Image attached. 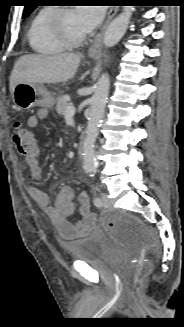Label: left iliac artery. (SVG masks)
Wrapping results in <instances>:
<instances>
[{"label": "left iliac artery", "mask_w": 184, "mask_h": 327, "mask_svg": "<svg viewBox=\"0 0 184 327\" xmlns=\"http://www.w3.org/2000/svg\"><path fill=\"white\" fill-rule=\"evenodd\" d=\"M94 204H95L96 206H101V205H102V200H101L99 197H96V198L94 199Z\"/></svg>", "instance_id": "44dca946"}]
</instances>
